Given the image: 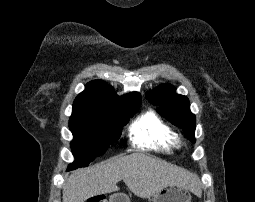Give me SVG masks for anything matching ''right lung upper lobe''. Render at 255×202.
<instances>
[{
    "mask_svg": "<svg viewBox=\"0 0 255 202\" xmlns=\"http://www.w3.org/2000/svg\"><path fill=\"white\" fill-rule=\"evenodd\" d=\"M140 103L141 96L137 92L118 96L106 82L93 80L76 97L71 117L104 116Z\"/></svg>",
    "mask_w": 255,
    "mask_h": 202,
    "instance_id": "right-lung-upper-lobe-1",
    "label": "right lung upper lobe"
}]
</instances>
